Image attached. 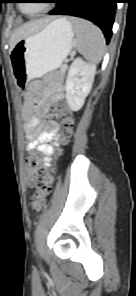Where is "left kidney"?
Segmentation results:
<instances>
[{
  "mask_svg": "<svg viewBox=\"0 0 136 296\" xmlns=\"http://www.w3.org/2000/svg\"><path fill=\"white\" fill-rule=\"evenodd\" d=\"M96 65L84 62L80 57L76 58L70 66L66 79V100L72 111H79L88 96L94 76Z\"/></svg>",
  "mask_w": 136,
  "mask_h": 296,
  "instance_id": "obj_1",
  "label": "left kidney"
}]
</instances>
